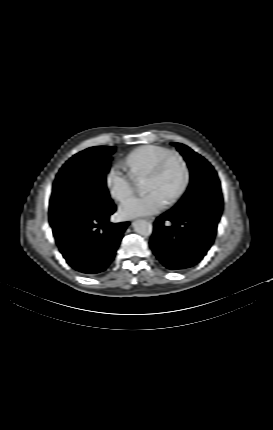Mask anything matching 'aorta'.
I'll return each instance as SVG.
<instances>
[{"instance_id": "obj_1", "label": "aorta", "mask_w": 273, "mask_h": 430, "mask_svg": "<svg viewBox=\"0 0 273 430\" xmlns=\"http://www.w3.org/2000/svg\"><path fill=\"white\" fill-rule=\"evenodd\" d=\"M144 184L140 183L138 188L143 190ZM134 231L142 236H149L152 233V224L143 219H138L133 222Z\"/></svg>"}]
</instances>
